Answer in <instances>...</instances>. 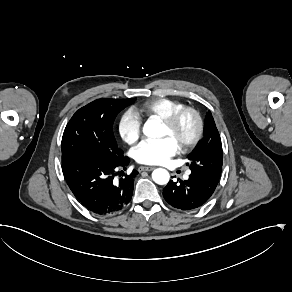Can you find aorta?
Here are the masks:
<instances>
[{"mask_svg":"<svg viewBox=\"0 0 292 292\" xmlns=\"http://www.w3.org/2000/svg\"><path fill=\"white\" fill-rule=\"evenodd\" d=\"M143 133L151 138H156L160 136V124L155 120H148L143 127ZM170 175L166 169L157 168L152 172V179L155 183L159 185L167 184Z\"/></svg>","mask_w":292,"mask_h":292,"instance_id":"762f6f07","label":"aorta"}]
</instances>
